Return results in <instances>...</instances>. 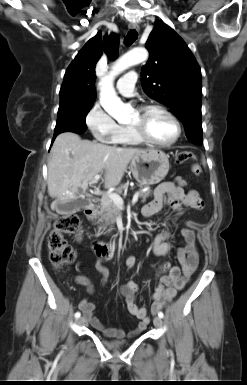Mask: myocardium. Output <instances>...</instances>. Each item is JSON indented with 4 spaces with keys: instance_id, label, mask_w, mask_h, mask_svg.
<instances>
[{
    "instance_id": "1",
    "label": "myocardium",
    "mask_w": 247,
    "mask_h": 385,
    "mask_svg": "<svg viewBox=\"0 0 247 385\" xmlns=\"http://www.w3.org/2000/svg\"><path fill=\"white\" fill-rule=\"evenodd\" d=\"M151 111H160L171 119L176 129L174 137L168 142H157L149 138L140 125H137V126L130 125L131 131L141 142H144L151 146H155L159 148H167L174 145L179 140L182 134V127L178 118L166 107L158 104L141 106L137 109V114L142 119Z\"/></svg>"
}]
</instances>
